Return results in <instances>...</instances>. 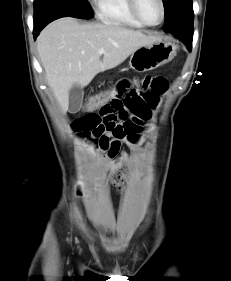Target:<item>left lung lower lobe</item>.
<instances>
[{
    "label": "left lung lower lobe",
    "instance_id": "left-lung-lower-lobe-1",
    "mask_svg": "<svg viewBox=\"0 0 231 281\" xmlns=\"http://www.w3.org/2000/svg\"><path fill=\"white\" fill-rule=\"evenodd\" d=\"M170 33L179 36L188 46V49L191 50L193 39V21L178 25L177 27L173 28Z\"/></svg>",
    "mask_w": 231,
    "mask_h": 281
}]
</instances>
